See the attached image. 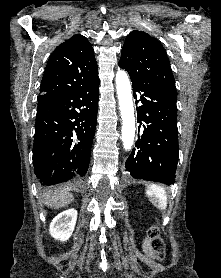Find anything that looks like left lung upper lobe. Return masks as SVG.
I'll use <instances>...</instances> for the list:
<instances>
[{
	"label": "left lung upper lobe",
	"mask_w": 221,
	"mask_h": 278,
	"mask_svg": "<svg viewBox=\"0 0 221 278\" xmlns=\"http://www.w3.org/2000/svg\"><path fill=\"white\" fill-rule=\"evenodd\" d=\"M119 66L130 78L166 89L176 95L170 62L162 44L143 31H132L122 47Z\"/></svg>",
	"instance_id": "5c2ea615"
}]
</instances>
